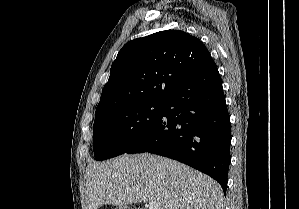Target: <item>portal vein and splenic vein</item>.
<instances>
[{"mask_svg": "<svg viewBox=\"0 0 299 209\" xmlns=\"http://www.w3.org/2000/svg\"><path fill=\"white\" fill-rule=\"evenodd\" d=\"M148 208L149 209H158V204H156L155 202H149Z\"/></svg>", "mask_w": 299, "mask_h": 209, "instance_id": "1", "label": "portal vein and splenic vein"}]
</instances>
